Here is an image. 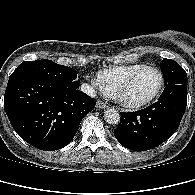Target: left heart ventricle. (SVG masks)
Segmentation results:
<instances>
[{
    "instance_id": "left-heart-ventricle-1",
    "label": "left heart ventricle",
    "mask_w": 195,
    "mask_h": 195,
    "mask_svg": "<svg viewBox=\"0 0 195 195\" xmlns=\"http://www.w3.org/2000/svg\"><path fill=\"white\" fill-rule=\"evenodd\" d=\"M159 75L153 70L140 72L131 82L125 93L129 101H141L155 93L159 86Z\"/></svg>"
}]
</instances>
